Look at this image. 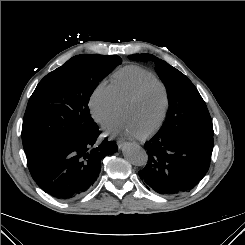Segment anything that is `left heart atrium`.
<instances>
[{
	"mask_svg": "<svg viewBox=\"0 0 245 245\" xmlns=\"http://www.w3.org/2000/svg\"><path fill=\"white\" fill-rule=\"evenodd\" d=\"M107 133H124L128 137H138L140 134L130 126L125 118H123L122 122H116L111 124L107 128Z\"/></svg>",
	"mask_w": 245,
	"mask_h": 245,
	"instance_id": "left-heart-atrium-1",
	"label": "left heart atrium"
}]
</instances>
